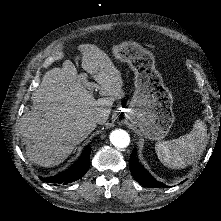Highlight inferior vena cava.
Segmentation results:
<instances>
[{"label":"inferior vena cava","instance_id":"inferior-vena-cava-1","mask_svg":"<svg viewBox=\"0 0 221 221\" xmlns=\"http://www.w3.org/2000/svg\"><path fill=\"white\" fill-rule=\"evenodd\" d=\"M98 119H99V115H96V114H93L89 117V121L92 125H96Z\"/></svg>","mask_w":221,"mask_h":221}]
</instances>
